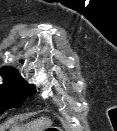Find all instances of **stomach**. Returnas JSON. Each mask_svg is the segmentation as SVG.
Masks as SVG:
<instances>
[{
  "label": "stomach",
  "instance_id": "0dacf381",
  "mask_svg": "<svg viewBox=\"0 0 117 131\" xmlns=\"http://www.w3.org/2000/svg\"><path fill=\"white\" fill-rule=\"evenodd\" d=\"M60 128H58V127H50V128H48L47 130H59Z\"/></svg>",
  "mask_w": 117,
  "mask_h": 131
}]
</instances>
